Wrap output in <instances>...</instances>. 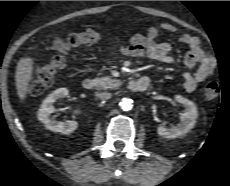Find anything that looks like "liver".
Returning a JSON list of instances; mask_svg holds the SVG:
<instances>
[{
  "label": "liver",
  "mask_w": 230,
  "mask_h": 186,
  "mask_svg": "<svg viewBox=\"0 0 230 186\" xmlns=\"http://www.w3.org/2000/svg\"><path fill=\"white\" fill-rule=\"evenodd\" d=\"M33 60L29 57H22L16 66L15 81L18 96L21 101L26 98L29 82L33 75Z\"/></svg>",
  "instance_id": "obj_1"
}]
</instances>
